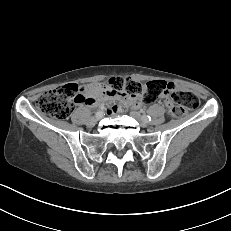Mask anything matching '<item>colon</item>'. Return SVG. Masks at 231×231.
Here are the masks:
<instances>
[{
  "label": "colon",
  "instance_id": "obj_1",
  "mask_svg": "<svg viewBox=\"0 0 231 231\" xmlns=\"http://www.w3.org/2000/svg\"><path fill=\"white\" fill-rule=\"evenodd\" d=\"M109 89L127 96L141 95L144 103H152L161 96H167V113L179 118L187 111L196 110L198 98L190 91L180 89L176 84L166 81H152L142 85L131 79L114 77L108 82ZM83 100L76 84H66L60 88L44 92L37 100L38 110L55 119L67 118L73 109V103Z\"/></svg>",
  "mask_w": 231,
  "mask_h": 231
}]
</instances>
